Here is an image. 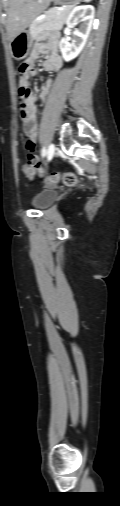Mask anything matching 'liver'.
Listing matches in <instances>:
<instances>
[{
  "mask_svg": "<svg viewBox=\"0 0 120 506\" xmlns=\"http://www.w3.org/2000/svg\"><path fill=\"white\" fill-rule=\"evenodd\" d=\"M52 0H9L7 12L8 39L12 41L39 16Z\"/></svg>",
  "mask_w": 120,
  "mask_h": 506,
  "instance_id": "obj_1",
  "label": "liver"
}]
</instances>
